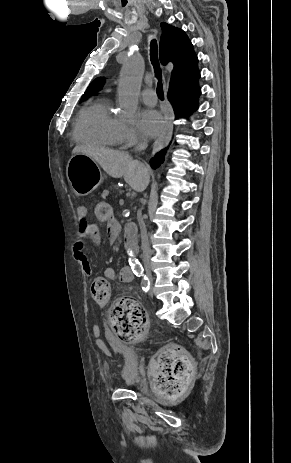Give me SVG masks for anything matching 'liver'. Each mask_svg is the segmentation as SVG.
<instances>
[{"instance_id":"6515ba94","label":"liver","mask_w":291,"mask_h":463,"mask_svg":"<svg viewBox=\"0 0 291 463\" xmlns=\"http://www.w3.org/2000/svg\"><path fill=\"white\" fill-rule=\"evenodd\" d=\"M72 153H82L89 156L108 175L114 178L123 177L125 182L137 192L144 191L149 184L150 175L148 167L138 160H133L126 152L78 145L73 149Z\"/></svg>"}]
</instances>
